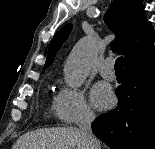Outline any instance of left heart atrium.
<instances>
[{
	"instance_id": "39dd6f15",
	"label": "left heart atrium",
	"mask_w": 155,
	"mask_h": 149,
	"mask_svg": "<svg viewBox=\"0 0 155 149\" xmlns=\"http://www.w3.org/2000/svg\"><path fill=\"white\" fill-rule=\"evenodd\" d=\"M114 96L111 89L104 83H97L91 93L93 105L99 109H107L113 102Z\"/></svg>"
}]
</instances>
